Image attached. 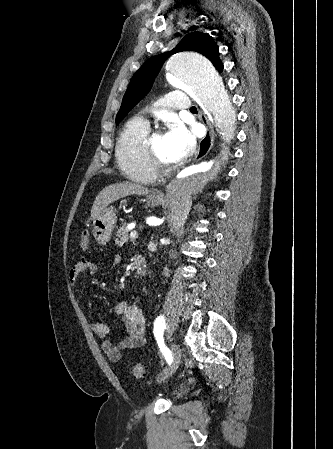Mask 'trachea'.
I'll use <instances>...</instances> for the list:
<instances>
[{
	"mask_svg": "<svg viewBox=\"0 0 333 449\" xmlns=\"http://www.w3.org/2000/svg\"><path fill=\"white\" fill-rule=\"evenodd\" d=\"M190 111L191 112L197 111V108L195 106H193V107L190 108Z\"/></svg>",
	"mask_w": 333,
	"mask_h": 449,
	"instance_id": "3493384b",
	"label": "trachea"
}]
</instances>
